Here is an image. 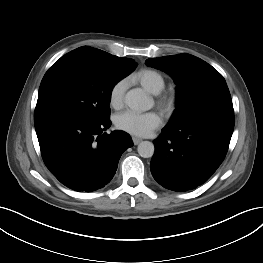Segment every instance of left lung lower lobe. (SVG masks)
Instances as JSON below:
<instances>
[{"label": "left lung lower lobe", "mask_w": 263, "mask_h": 263, "mask_svg": "<svg viewBox=\"0 0 263 263\" xmlns=\"http://www.w3.org/2000/svg\"><path fill=\"white\" fill-rule=\"evenodd\" d=\"M234 130V113L211 112L167 124L154 140L150 169L164 188L184 192L205 183L223 162Z\"/></svg>", "instance_id": "left-lung-lower-lobe-1"}]
</instances>
